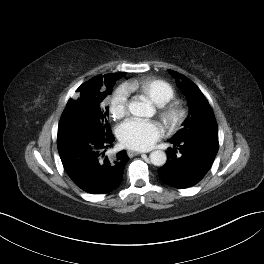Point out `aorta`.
<instances>
[{
	"label": "aorta",
	"mask_w": 264,
	"mask_h": 264,
	"mask_svg": "<svg viewBox=\"0 0 264 264\" xmlns=\"http://www.w3.org/2000/svg\"><path fill=\"white\" fill-rule=\"evenodd\" d=\"M130 113L137 117H150L153 115V108L142 101H132L128 105ZM166 153L161 150L151 152L150 161L155 166H163L166 163Z\"/></svg>",
	"instance_id": "1"
}]
</instances>
